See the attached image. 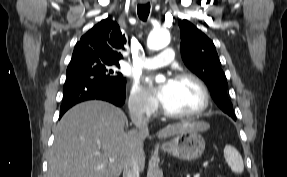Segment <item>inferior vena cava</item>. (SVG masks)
I'll list each match as a JSON object with an SVG mask.
<instances>
[{"instance_id": "602c4592", "label": "inferior vena cava", "mask_w": 287, "mask_h": 177, "mask_svg": "<svg viewBox=\"0 0 287 177\" xmlns=\"http://www.w3.org/2000/svg\"><path fill=\"white\" fill-rule=\"evenodd\" d=\"M130 117L133 124L138 129L139 135L143 138L148 136V121L144 117L143 110L139 107L132 108L130 111ZM139 172L140 168L138 157L136 155H133L131 158L128 159L124 166L123 177H139Z\"/></svg>"}]
</instances>
